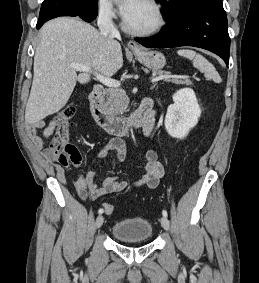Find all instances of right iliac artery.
I'll return each instance as SVG.
<instances>
[{"instance_id":"1","label":"right iliac artery","mask_w":259,"mask_h":283,"mask_svg":"<svg viewBox=\"0 0 259 283\" xmlns=\"http://www.w3.org/2000/svg\"><path fill=\"white\" fill-rule=\"evenodd\" d=\"M98 213H99V214L103 213V209L100 208V209L98 210Z\"/></svg>"}]
</instances>
